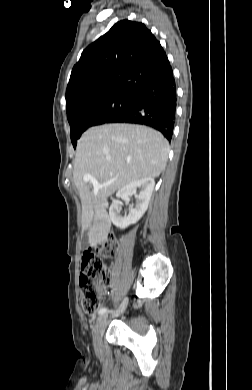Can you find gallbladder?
I'll return each instance as SVG.
<instances>
[{
    "label": "gallbladder",
    "instance_id": "bac80fb5",
    "mask_svg": "<svg viewBox=\"0 0 252 390\" xmlns=\"http://www.w3.org/2000/svg\"><path fill=\"white\" fill-rule=\"evenodd\" d=\"M87 240H88V230H86L84 232V235H83V244H86L87 243Z\"/></svg>",
    "mask_w": 252,
    "mask_h": 390
}]
</instances>
